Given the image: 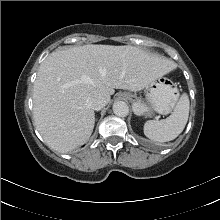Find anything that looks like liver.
<instances>
[{
    "label": "liver",
    "instance_id": "6515ba94",
    "mask_svg": "<svg viewBox=\"0 0 220 220\" xmlns=\"http://www.w3.org/2000/svg\"><path fill=\"white\" fill-rule=\"evenodd\" d=\"M174 67L134 46L88 44L54 51L41 63L34 82L35 126L51 149L69 152L92 134L91 95L100 93L108 103L114 89L139 91Z\"/></svg>",
    "mask_w": 220,
    "mask_h": 220
}]
</instances>
